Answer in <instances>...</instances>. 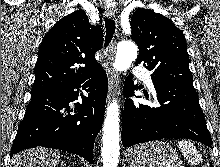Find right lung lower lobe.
<instances>
[{
    "label": "right lung lower lobe",
    "mask_w": 220,
    "mask_h": 167,
    "mask_svg": "<svg viewBox=\"0 0 220 167\" xmlns=\"http://www.w3.org/2000/svg\"><path fill=\"white\" fill-rule=\"evenodd\" d=\"M82 104L70 108L78 99ZM108 80L101 67L96 73L70 85L32 93L25 116L18 127L11 156L22 150L44 146L68 151L93 160L94 140L103 122ZM75 112V114H70Z\"/></svg>",
    "instance_id": "1"
}]
</instances>
